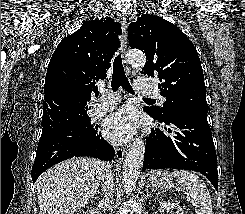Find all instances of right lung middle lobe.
Instances as JSON below:
<instances>
[{
	"mask_svg": "<svg viewBox=\"0 0 245 214\" xmlns=\"http://www.w3.org/2000/svg\"><path fill=\"white\" fill-rule=\"evenodd\" d=\"M91 118L87 115V110L76 116L73 120L66 122L63 130H86L91 124Z\"/></svg>",
	"mask_w": 245,
	"mask_h": 214,
	"instance_id": "dd1d6c3e",
	"label": "right lung middle lobe"
}]
</instances>
